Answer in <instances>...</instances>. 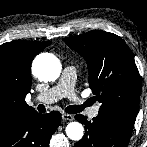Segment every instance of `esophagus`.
<instances>
[{"mask_svg": "<svg viewBox=\"0 0 147 147\" xmlns=\"http://www.w3.org/2000/svg\"><path fill=\"white\" fill-rule=\"evenodd\" d=\"M62 119L67 121H72L74 117L71 114H62Z\"/></svg>", "mask_w": 147, "mask_h": 147, "instance_id": "34e87169", "label": "esophagus"}]
</instances>
